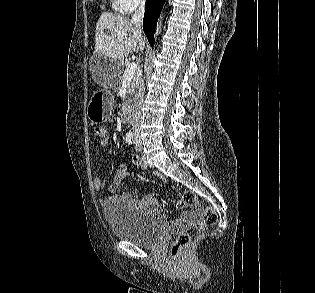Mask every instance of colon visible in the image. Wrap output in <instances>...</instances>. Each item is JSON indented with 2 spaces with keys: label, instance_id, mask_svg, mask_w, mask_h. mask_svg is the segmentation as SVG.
Here are the masks:
<instances>
[{
  "label": "colon",
  "instance_id": "obj_1",
  "mask_svg": "<svg viewBox=\"0 0 315 293\" xmlns=\"http://www.w3.org/2000/svg\"><path fill=\"white\" fill-rule=\"evenodd\" d=\"M94 134L96 137L102 139L107 135V131L102 126H96L94 128ZM180 202L185 206L198 205L197 196L190 191H184L179 193ZM217 220V214L213 207L206 206L203 208L200 219L194 221L192 225L196 228H202L205 226L213 225ZM178 234L172 241L170 246V255L172 258H179L190 242V236L182 230H177Z\"/></svg>",
  "mask_w": 315,
  "mask_h": 293
}]
</instances>
